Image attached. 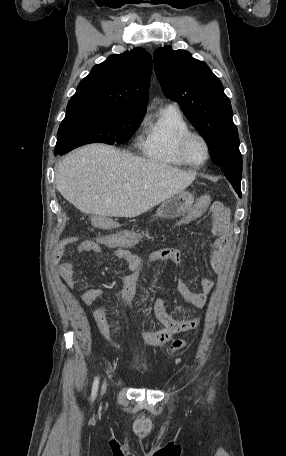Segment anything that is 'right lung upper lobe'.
<instances>
[{
	"label": "right lung upper lobe",
	"instance_id": "obj_1",
	"mask_svg": "<svg viewBox=\"0 0 286 456\" xmlns=\"http://www.w3.org/2000/svg\"><path fill=\"white\" fill-rule=\"evenodd\" d=\"M152 58L143 48L111 55L95 65L78 85L73 101H88L146 111Z\"/></svg>",
	"mask_w": 286,
	"mask_h": 456
}]
</instances>
